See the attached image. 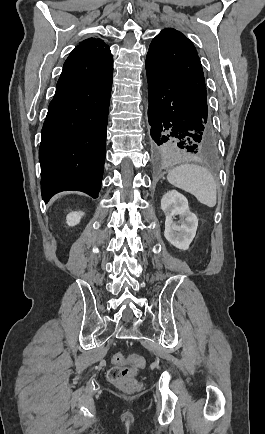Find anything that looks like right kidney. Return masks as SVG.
I'll return each instance as SVG.
<instances>
[{
    "label": "right kidney",
    "mask_w": 265,
    "mask_h": 434,
    "mask_svg": "<svg viewBox=\"0 0 265 434\" xmlns=\"http://www.w3.org/2000/svg\"><path fill=\"white\" fill-rule=\"evenodd\" d=\"M82 216H84V212H70V214L67 216L68 226H77Z\"/></svg>",
    "instance_id": "obj_1"
}]
</instances>
